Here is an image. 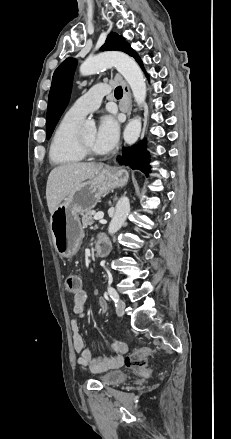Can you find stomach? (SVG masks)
I'll list each match as a JSON object with an SVG mask.
<instances>
[{"mask_svg": "<svg viewBox=\"0 0 231 439\" xmlns=\"http://www.w3.org/2000/svg\"><path fill=\"white\" fill-rule=\"evenodd\" d=\"M128 173L122 168L104 167L93 178L78 184L61 202L50 217V227L57 253L63 258L73 257L83 238L79 215L93 209L101 197L116 187L123 186Z\"/></svg>", "mask_w": 231, "mask_h": 439, "instance_id": "0dacf381", "label": "stomach"}]
</instances>
